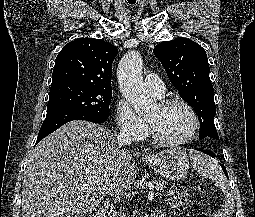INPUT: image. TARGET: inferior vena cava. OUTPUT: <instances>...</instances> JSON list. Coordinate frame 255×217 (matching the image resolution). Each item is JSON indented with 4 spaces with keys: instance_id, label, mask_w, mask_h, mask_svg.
Wrapping results in <instances>:
<instances>
[{
    "instance_id": "inferior-vena-cava-1",
    "label": "inferior vena cava",
    "mask_w": 255,
    "mask_h": 217,
    "mask_svg": "<svg viewBox=\"0 0 255 217\" xmlns=\"http://www.w3.org/2000/svg\"><path fill=\"white\" fill-rule=\"evenodd\" d=\"M132 141V136L129 132L124 130L120 131L116 138L117 148L120 149L122 146L129 145Z\"/></svg>"
}]
</instances>
